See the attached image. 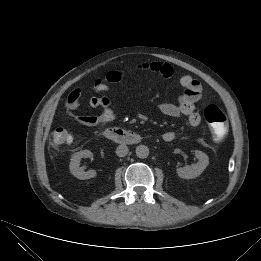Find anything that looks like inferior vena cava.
<instances>
[{"label":"inferior vena cava","mask_w":261,"mask_h":261,"mask_svg":"<svg viewBox=\"0 0 261 261\" xmlns=\"http://www.w3.org/2000/svg\"><path fill=\"white\" fill-rule=\"evenodd\" d=\"M129 149L126 145H119L116 149V154L119 157H124L128 154Z\"/></svg>","instance_id":"602c4592"}]
</instances>
